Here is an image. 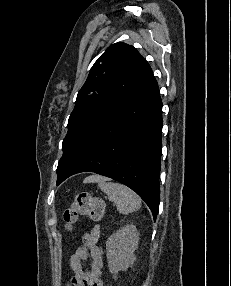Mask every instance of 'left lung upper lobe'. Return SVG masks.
I'll list each match as a JSON object with an SVG mask.
<instances>
[{"instance_id":"1","label":"left lung upper lobe","mask_w":231,"mask_h":286,"mask_svg":"<svg viewBox=\"0 0 231 286\" xmlns=\"http://www.w3.org/2000/svg\"><path fill=\"white\" fill-rule=\"evenodd\" d=\"M151 74L150 66L138 51L124 43L112 44L98 58L69 117L57 181L87 134Z\"/></svg>"}]
</instances>
